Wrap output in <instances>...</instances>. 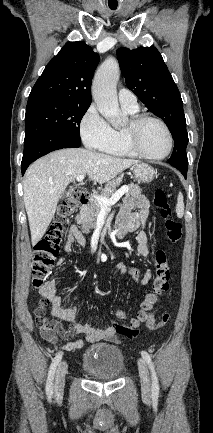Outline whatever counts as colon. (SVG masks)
<instances>
[{
  "mask_svg": "<svg viewBox=\"0 0 213 433\" xmlns=\"http://www.w3.org/2000/svg\"><path fill=\"white\" fill-rule=\"evenodd\" d=\"M87 197L88 194L82 190L70 191L67 198L59 207L55 222L49 228L45 237L36 244L32 267L33 286L35 288H41L45 284V279L54 264L55 258L59 252L63 225L66 218L74 211L78 210ZM154 205L160 210L168 240L172 243H177L182 236V227L178 221L172 218L171 207L164 190L158 189L155 191ZM154 260L155 278L152 283V290L143 302L137 318L128 326L116 325L117 331L125 337H135L137 328L141 323H145L151 330H156L165 326L170 320L169 314H164L161 321L158 323H156L153 318L155 307L159 304L161 297L169 289L170 278L166 254L162 250H157ZM47 305L48 302L42 300L35 309L36 322L42 329L49 327L51 323L46 317ZM124 315L125 313L122 310L117 311L115 314L117 319H123Z\"/></svg>",
  "mask_w": 213,
  "mask_h": 433,
  "instance_id": "1",
  "label": "colon"
}]
</instances>
